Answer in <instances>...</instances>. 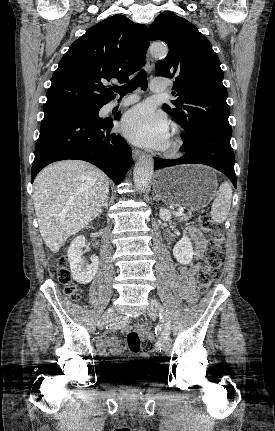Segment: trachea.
Listing matches in <instances>:
<instances>
[{
  "label": "trachea",
  "instance_id": "1",
  "mask_svg": "<svg viewBox=\"0 0 275 431\" xmlns=\"http://www.w3.org/2000/svg\"><path fill=\"white\" fill-rule=\"evenodd\" d=\"M141 87L142 90H147L148 81L147 74L145 70H141L130 82L120 87H114L113 91L118 92L120 96H124L131 93L136 88Z\"/></svg>",
  "mask_w": 275,
  "mask_h": 431
}]
</instances>
